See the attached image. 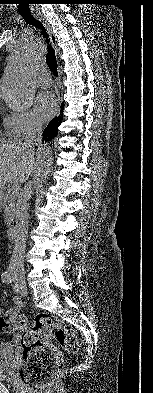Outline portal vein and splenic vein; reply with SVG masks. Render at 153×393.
Returning <instances> with one entry per match:
<instances>
[{
    "label": "portal vein and splenic vein",
    "mask_w": 153,
    "mask_h": 393,
    "mask_svg": "<svg viewBox=\"0 0 153 393\" xmlns=\"http://www.w3.org/2000/svg\"><path fill=\"white\" fill-rule=\"evenodd\" d=\"M11 189L13 192H17L20 189V186H19V184H13Z\"/></svg>",
    "instance_id": "obj_1"
}]
</instances>
